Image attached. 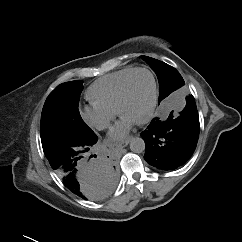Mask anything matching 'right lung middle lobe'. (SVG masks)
I'll list each match as a JSON object with an SVG mask.
<instances>
[{"instance_id": "1", "label": "right lung middle lobe", "mask_w": 242, "mask_h": 242, "mask_svg": "<svg viewBox=\"0 0 242 242\" xmlns=\"http://www.w3.org/2000/svg\"><path fill=\"white\" fill-rule=\"evenodd\" d=\"M83 88V82L79 80L60 84L45 101L41 115V142L45 155L93 135L78 110Z\"/></svg>"}]
</instances>
